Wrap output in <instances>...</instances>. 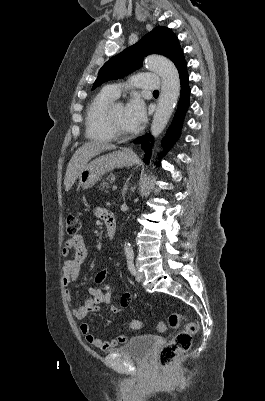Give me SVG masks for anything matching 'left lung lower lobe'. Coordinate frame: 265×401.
Here are the masks:
<instances>
[{"instance_id":"left-lung-lower-lobe-1","label":"left lung lower lobe","mask_w":265,"mask_h":401,"mask_svg":"<svg viewBox=\"0 0 265 401\" xmlns=\"http://www.w3.org/2000/svg\"><path fill=\"white\" fill-rule=\"evenodd\" d=\"M180 75V82H181V93H180V101L178 105L177 112L173 118L172 124L168 129L166 137L163 140L165 150L169 149L173 143L176 141L177 137L179 136L182 121L184 118V114L189 106V93L190 89L188 87V74L186 71V62L183 59L177 66ZM149 140H152V137L148 135H144L142 137L137 138L134 140V143L141 142L142 147L145 148L146 156L144 157V162L149 163L150 155H151V145L148 143Z\"/></svg>"}]
</instances>
